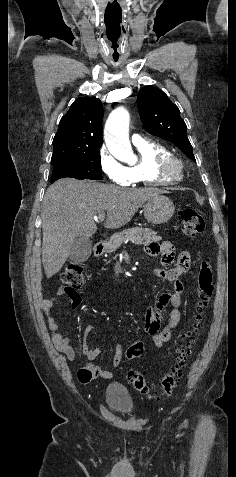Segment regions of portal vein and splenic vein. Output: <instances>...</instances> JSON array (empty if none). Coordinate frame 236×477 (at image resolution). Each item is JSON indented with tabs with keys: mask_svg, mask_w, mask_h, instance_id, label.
Masks as SVG:
<instances>
[{
	"mask_svg": "<svg viewBox=\"0 0 236 477\" xmlns=\"http://www.w3.org/2000/svg\"><path fill=\"white\" fill-rule=\"evenodd\" d=\"M94 219L99 220V221H104L105 215L104 214H99L98 216H94Z\"/></svg>",
	"mask_w": 236,
	"mask_h": 477,
	"instance_id": "18ae733b",
	"label": "portal vein and splenic vein"
}]
</instances>
